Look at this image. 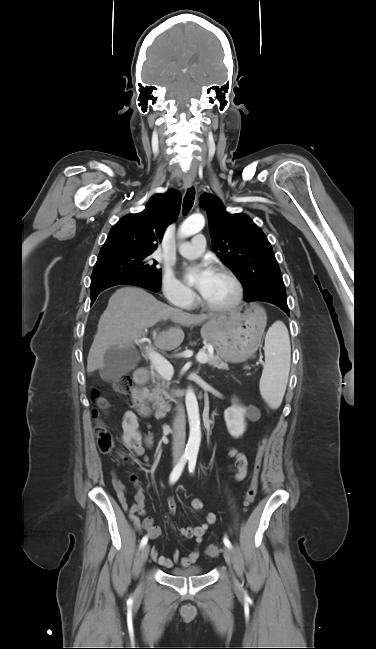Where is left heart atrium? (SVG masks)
Wrapping results in <instances>:
<instances>
[{"label": "left heart atrium", "instance_id": "1", "mask_svg": "<svg viewBox=\"0 0 376 649\" xmlns=\"http://www.w3.org/2000/svg\"><path fill=\"white\" fill-rule=\"evenodd\" d=\"M186 273L194 278L197 289L201 293L207 288L214 276V271L207 262L187 267Z\"/></svg>", "mask_w": 376, "mask_h": 649}]
</instances>
